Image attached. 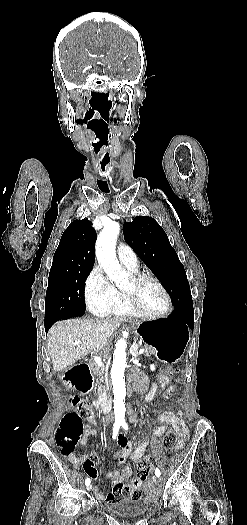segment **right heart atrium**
<instances>
[{
  "label": "right heart atrium",
  "mask_w": 247,
  "mask_h": 525,
  "mask_svg": "<svg viewBox=\"0 0 247 525\" xmlns=\"http://www.w3.org/2000/svg\"><path fill=\"white\" fill-rule=\"evenodd\" d=\"M116 291L99 266H94L84 284L87 309L96 316H104L114 306Z\"/></svg>",
  "instance_id": "obj_1"
}]
</instances>
